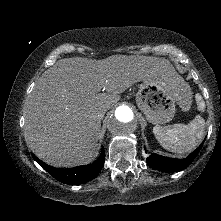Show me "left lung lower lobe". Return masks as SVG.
Here are the masks:
<instances>
[{
	"instance_id": "obj_1",
	"label": "left lung lower lobe",
	"mask_w": 221,
	"mask_h": 221,
	"mask_svg": "<svg viewBox=\"0 0 221 221\" xmlns=\"http://www.w3.org/2000/svg\"><path fill=\"white\" fill-rule=\"evenodd\" d=\"M203 143L185 159H173L157 154H151L147 159V164L159 171L175 172L188 167L199 153Z\"/></svg>"
}]
</instances>
